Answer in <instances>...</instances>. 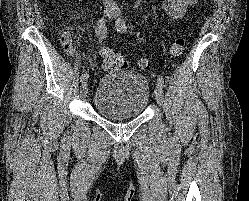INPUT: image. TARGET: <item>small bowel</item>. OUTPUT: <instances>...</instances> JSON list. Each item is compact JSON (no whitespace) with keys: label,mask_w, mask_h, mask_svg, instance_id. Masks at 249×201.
Instances as JSON below:
<instances>
[{"label":"small bowel","mask_w":249,"mask_h":201,"mask_svg":"<svg viewBox=\"0 0 249 201\" xmlns=\"http://www.w3.org/2000/svg\"><path fill=\"white\" fill-rule=\"evenodd\" d=\"M199 0H164L163 9L173 19H182L188 10L197 4ZM60 43L69 56H73L74 50L71 47V36L65 31L60 37Z\"/></svg>","instance_id":"small-bowel-1"}]
</instances>
